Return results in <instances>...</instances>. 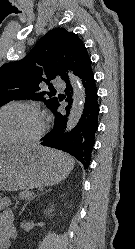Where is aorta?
Here are the masks:
<instances>
[{"label":"aorta","instance_id":"762f6f07","mask_svg":"<svg viewBox=\"0 0 135 249\" xmlns=\"http://www.w3.org/2000/svg\"><path fill=\"white\" fill-rule=\"evenodd\" d=\"M69 79L73 88V103L65 132H69L77 125L83 113L85 103V92L78 78L69 73Z\"/></svg>","mask_w":135,"mask_h":249}]
</instances>
